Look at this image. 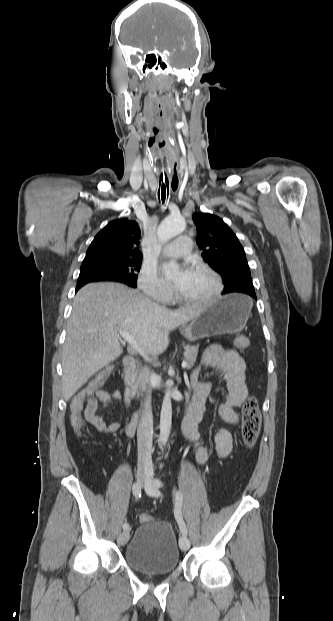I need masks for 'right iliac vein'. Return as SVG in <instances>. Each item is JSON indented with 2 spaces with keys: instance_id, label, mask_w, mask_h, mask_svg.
Wrapping results in <instances>:
<instances>
[{
  "instance_id": "63e3f726",
  "label": "right iliac vein",
  "mask_w": 333,
  "mask_h": 621,
  "mask_svg": "<svg viewBox=\"0 0 333 621\" xmlns=\"http://www.w3.org/2000/svg\"><path fill=\"white\" fill-rule=\"evenodd\" d=\"M148 475V470L144 467V466H138L137 469V481L140 485H143L145 483L146 477ZM130 537V532L128 530H125L124 532L120 533L117 539V542L119 545H125L128 541Z\"/></svg>"
}]
</instances>
